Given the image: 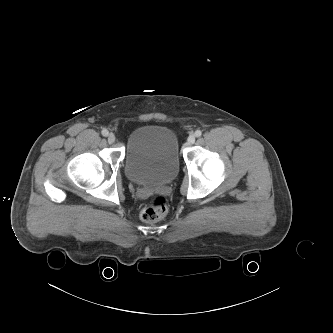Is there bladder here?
<instances>
[{
	"label": "bladder",
	"instance_id": "31cf9c89",
	"mask_svg": "<svg viewBox=\"0 0 333 333\" xmlns=\"http://www.w3.org/2000/svg\"><path fill=\"white\" fill-rule=\"evenodd\" d=\"M180 167L177 133L161 124L135 128L128 136L124 171L136 184L160 185L174 179Z\"/></svg>",
	"mask_w": 333,
	"mask_h": 333
}]
</instances>
